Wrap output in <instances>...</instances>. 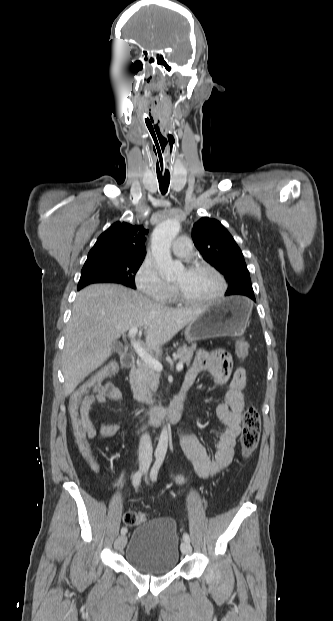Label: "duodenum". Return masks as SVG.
Segmentation results:
<instances>
[{"label": "duodenum", "instance_id": "duodenum-1", "mask_svg": "<svg viewBox=\"0 0 333 621\" xmlns=\"http://www.w3.org/2000/svg\"><path fill=\"white\" fill-rule=\"evenodd\" d=\"M121 364L125 368H132L135 365V356L133 354H125L121 358ZM189 386L184 384L181 393L177 397L174 404L168 409L150 408L146 412L145 423L141 426L155 425L162 422H176L182 415V404L184 402Z\"/></svg>", "mask_w": 333, "mask_h": 621}]
</instances>
